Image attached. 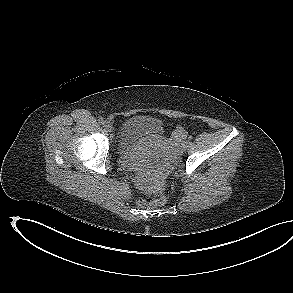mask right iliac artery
<instances>
[{
    "label": "right iliac artery",
    "instance_id": "right-iliac-artery-1",
    "mask_svg": "<svg viewBox=\"0 0 293 293\" xmlns=\"http://www.w3.org/2000/svg\"><path fill=\"white\" fill-rule=\"evenodd\" d=\"M98 121H99L100 124H104V123H105V121H104V119H103L102 117H100V118L98 119Z\"/></svg>",
    "mask_w": 293,
    "mask_h": 293
}]
</instances>
